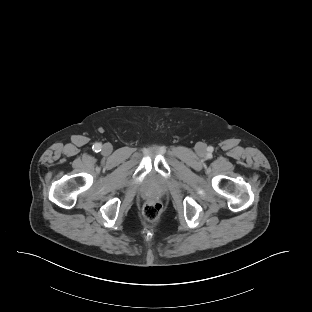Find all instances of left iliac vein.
<instances>
[{"label": "left iliac vein", "mask_w": 312, "mask_h": 312, "mask_svg": "<svg viewBox=\"0 0 312 312\" xmlns=\"http://www.w3.org/2000/svg\"><path fill=\"white\" fill-rule=\"evenodd\" d=\"M204 150H205V148H204V146H203L202 144H200V145L197 147V152H198L199 154H203V153H204Z\"/></svg>", "instance_id": "1"}]
</instances>
